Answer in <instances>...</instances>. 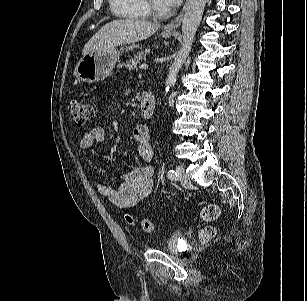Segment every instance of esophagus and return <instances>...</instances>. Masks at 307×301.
I'll return each instance as SVG.
<instances>
[{"label":"esophagus","instance_id":"esophagus-1","mask_svg":"<svg viewBox=\"0 0 307 301\" xmlns=\"http://www.w3.org/2000/svg\"><path fill=\"white\" fill-rule=\"evenodd\" d=\"M188 4H189V0H186V2L184 4L181 12L179 13V15L174 20H172L170 23L165 25L164 29L166 31H170V32L176 31V29L180 26V24L182 22L183 15H184V12H185Z\"/></svg>","mask_w":307,"mask_h":301}]
</instances>
